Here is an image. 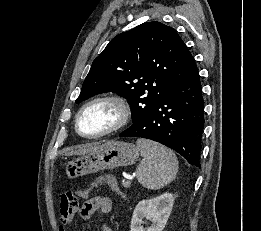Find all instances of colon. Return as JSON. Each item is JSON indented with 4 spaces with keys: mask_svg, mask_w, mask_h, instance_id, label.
<instances>
[{
    "mask_svg": "<svg viewBox=\"0 0 261 231\" xmlns=\"http://www.w3.org/2000/svg\"><path fill=\"white\" fill-rule=\"evenodd\" d=\"M107 185L115 189V184L111 179L107 180ZM84 193H88V190H82ZM81 194L80 191L76 192H65L61 196V204H60V216L65 220H71L74 215L77 213L79 208V200H80Z\"/></svg>",
    "mask_w": 261,
    "mask_h": 231,
    "instance_id": "5ec220e1",
    "label": "colon"
}]
</instances>
